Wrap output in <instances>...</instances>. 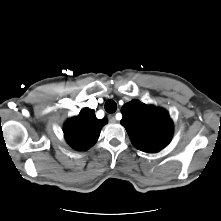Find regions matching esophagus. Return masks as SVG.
<instances>
[{
	"label": "esophagus",
	"instance_id": "1",
	"mask_svg": "<svg viewBox=\"0 0 221 221\" xmlns=\"http://www.w3.org/2000/svg\"><path fill=\"white\" fill-rule=\"evenodd\" d=\"M108 118L111 123H116L117 121L115 115H109Z\"/></svg>",
	"mask_w": 221,
	"mask_h": 221
}]
</instances>
